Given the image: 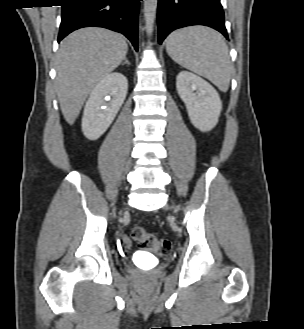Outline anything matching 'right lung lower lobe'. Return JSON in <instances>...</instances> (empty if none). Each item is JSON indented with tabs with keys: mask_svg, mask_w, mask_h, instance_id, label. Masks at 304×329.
I'll return each instance as SVG.
<instances>
[{
	"mask_svg": "<svg viewBox=\"0 0 304 329\" xmlns=\"http://www.w3.org/2000/svg\"><path fill=\"white\" fill-rule=\"evenodd\" d=\"M58 42L72 31L89 26L124 34L138 50V12L142 0H63Z\"/></svg>",
	"mask_w": 304,
	"mask_h": 329,
	"instance_id": "98d812e1",
	"label": "right lung lower lobe"
}]
</instances>
